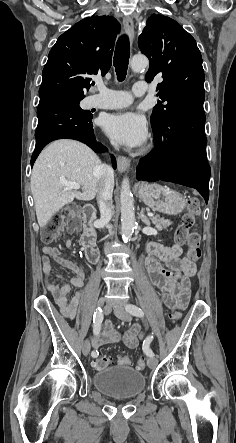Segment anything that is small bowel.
Returning <instances> with one entry per match:
<instances>
[{
    "label": "small bowel",
    "instance_id": "obj_1",
    "mask_svg": "<svg viewBox=\"0 0 236 443\" xmlns=\"http://www.w3.org/2000/svg\"><path fill=\"white\" fill-rule=\"evenodd\" d=\"M66 245L71 246V241L67 240ZM43 253L46 288L53 295L63 314L73 318L83 298L85 277L83 267L80 263L62 256L57 247L46 246L43 248ZM52 261L74 272L75 275L69 282L58 285L52 280L54 276ZM145 266L150 282L159 288L165 305L172 309H185L190 300V278L195 275L196 265L188 257H182V248L179 245L163 246L152 243L148 248ZM56 276L62 278L61 275ZM72 287L79 290L69 297ZM136 332L137 329H134L121 338L112 330L110 323L106 322L103 330L93 337L92 346L98 348L103 344L122 339L129 348H134L138 344Z\"/></svg>",
    "mask_w": 236,
    "mask_h": 443
}]
</instances>
